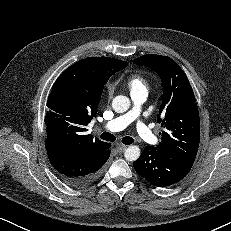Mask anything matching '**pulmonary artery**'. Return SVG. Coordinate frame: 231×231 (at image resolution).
Instances as JSON below:
<instances>
[{
    "label": "pulmonary artery",
    "mask_w": 231,
    "mask_h": 231,
    "mask_svg": "<svg viewBox=\"0 0 231 231\" xmlns=\"http://www.w3.org/2000/svg\"><path fill=\"white\" fill-rule=\"evenodd\" d=\"M148 96V92L142 91L138 93L131 94V100L133 103L132 108L123 115H120L103 125V128L110 132H117L125 129L132 122L138 120L141 112V106L144 104ZM136 131L138 136L150 143L153 144L157 142V137L154 134L153 130L149 128L146 124L141 121L137 122Z\"/></svg>",
    "instance_id": "e3ab8cb5"
}]
</instances>
